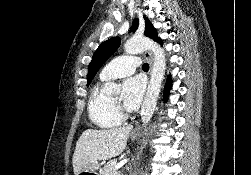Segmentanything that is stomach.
Wrapping results in <instances>:
<instances>
[{
    "label": "stomach",
    "mask_w": 251,
    "mask_h": 175,
    "mask_svg": "<svg viewBox=\"0 0 251 175\" xmlns=\"http://www.w3.org/2000/svg\"><path fill=\"white\" fill-rule=\"evenodd\" d=\"M153 127H156V125H153ZM150 129V131H146L145 135H152L153 131L155 129ZM132 137H136L135 133H132ZM100 167L99 161H94V163H90V165H86V167H83L81 169L80 173L78 175H99L98 169Z\"/></svg>",
    "instance_id": "stomach-1"
}]
</instances>
